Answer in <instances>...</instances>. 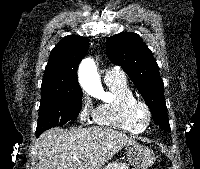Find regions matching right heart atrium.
Returning a JSON list of instances; mask_svg holds the SVG:
<instances>
[{
	"label": "right heart atrium",
	"instance_id": "d8ad5b80",
	"mask_svg": "<svg viewBox=\"0 0 200 169\" xmlns=\"http://www.w3.org/2000/svg\"><path fill=\"white\" fill-rule=\"evenodd\" d=\"M94 108L91 102L87 98H82L79 110L78 117L81 122H88L94 116Z\"/></svg>",
	"mask_w": 200,
	"mask_h": 169
}]
</instances>
